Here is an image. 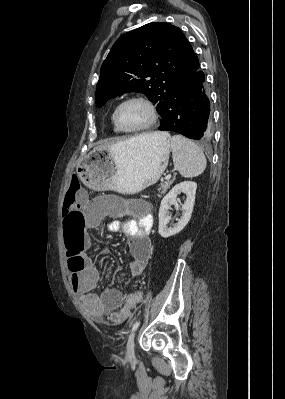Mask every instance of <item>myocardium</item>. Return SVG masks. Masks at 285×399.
I'll return each instance as SVG.
<instances>
[{
  "label": "myocardium",
  "mask_w": 285,
  "mask_h": 399,
  "mask_svg": "<svg viewBox=\"0 0 285 399\" xmlns=\"http://www.w3.org/2000/svg\"><path fill=\"white\" fill-rule=\"evenodd\" d=\"M134 101L142 102L148 107V109L150 111V119L145 124L140 125L138 127L125 128L121 125V123L119 121V113L124 105H126L127 103H130V102H134ZM157 120H158V111H157L156 105L154 104V102L152 100H150L149 98H147L145 96H141V95L131 96V97L123 100L116 107V109L114 111V122H115L117 128L120 131L126 132V133H135V132L145 131V130L149 129L150 127H152L157 122Z\"/></svg>",
  "instance_id": "myocardium-1"
}]
</instances>
